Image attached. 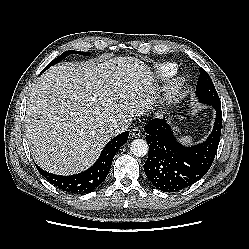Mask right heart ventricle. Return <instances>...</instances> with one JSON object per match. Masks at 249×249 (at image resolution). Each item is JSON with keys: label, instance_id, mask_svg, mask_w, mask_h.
Segmentation results:
<instances>
[{"label": "right heart ventricle", "instance_id": "e07e8e85", "mask_svg": "<svg viewBox=\"0 0 249 249\" xmlns=\"http://www.w3.org/2000/svg\"><path fill=\"white\" fill-rule=\"evenodd\" d=\"M177 65L174 63H162L157 66V72L163 79H167L175 74Z\"/></svg>", "mask_w": 249, "mask_h": 249}]
</instances>
